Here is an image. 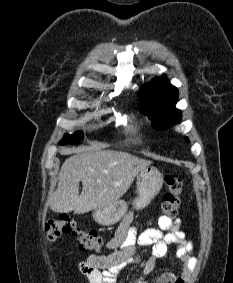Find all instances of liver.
Segmentation results:
<instances>
[{
	"mask_svg": "<svg viewBox=\"0 0 233 283\" xmlns=\"http://www.w3.org/2000/svg\"><path fill=\"white\" fill-rule=\"evenodd\" d=\"M150 164L121 151L93 149L77 153L63 163L57 189L49 196L48 204L54 212L76 214L109 206L127 192L138 172Z\"/></svg>",
	"mask_w": 233,
	"mask_h": 283,
	"instance_id": "6515ba94",
	"label": "liver"
}]
</instances>
